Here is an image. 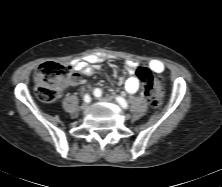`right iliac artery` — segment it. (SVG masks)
Masks as SVG:
<instances>
[{"instance_id": "obj_1", "label": "right iliac artery", "mask_w": 222, "mask_h": 187, "mask_svg": "<svg viewBox=\"0 0 222 187\" xmlns=\"http://www.w3.org/2000/svg\"><path fill=\"white\" fill-rule=\"evenodd\" d=\"M84 101L87 102V103H89L91 101V98H90V96L88 94H86L84 96Z\"/></svg>"}]
</instances>
